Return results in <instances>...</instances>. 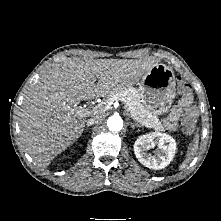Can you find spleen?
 Instances as JSON below:
<instances>
[{
    "instance_id": "3e777b00",
    "label": "spleen",
    "mask_w": 221,
    "mask_h": 221,
    "mask_svg": "<svg viewBox=\"0 0 221 221\" xmlns=\"http://www.w3.org/2000/svg\"><path fill=\"white\" fill-rule=\"evenodd\" d=\"M198 140V137L196 136V142ZM188 160L183 161V163L179 166V169L182 170L187 166Z\"/></svg>"
}]
</instances>
